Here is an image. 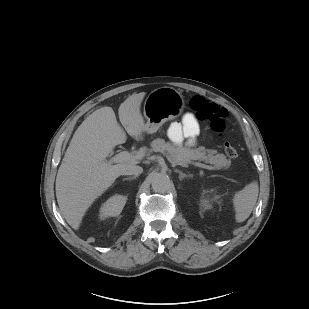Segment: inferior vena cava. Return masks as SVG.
<instances>
[{
	"label": "inferior vena cava",
	"instance_id": "inferior-vena-cava-1",
	"mask_svg": "<svg viewBox=\"0 0 309 309\" xmlns=\"http://www.w3.org/2000/svg\"><path fill=\"white\" fill-rule=\"evenodd\" d=\"M143 172V168L140 166H128L121 171V175H135L138 176Z\"/></svg>",
	"mask_w": 309,
	"mask_h": 309
}]
</instances>
